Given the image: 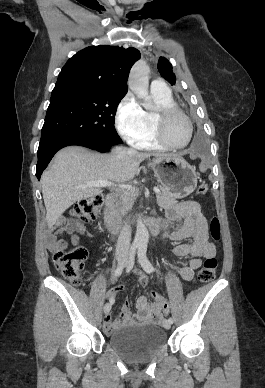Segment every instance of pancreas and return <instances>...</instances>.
<instances>
[{
  "label": "pancreas",
  "mask_w": 265,
  "mask_h": 388,
  "mask_svg": "<svg viewBox=\"0 0 265 388\" xmlns=\"http://www.w3.org/2000/svg\"><path fill=\"white\" fill-rule=\"evenodd\" d=\"M160 190H162V192H159L156 196L158 206H161V208H167V206L177 204V196H175V194H170V192H166L163 188H160ZM135 200L136 198L134 194H124V196L120 198V202H118L116 208L119 210L120 214L124 216V214H127L129 210H132Z\"/></svg>",
  "instance_id": "pancreas-1"
}]
</instances>
